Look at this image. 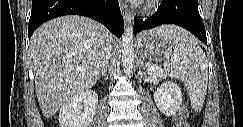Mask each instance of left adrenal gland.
Here are the masks:
<instances>
[{
  "label": "left adrenal gland",
  "instance_id": "a2214340",
  "mask_svg": "<svg viewBox=\"0 0 243 127\" xmlns=\"http://www.w3.org/2000/svg\"><path fill=\"white\" fill-rule=\"evenodd\" d=\"M140 66L144 69V70H146V66H145V64H144V61L143 60H140Z\"/></svg>",
  "mask_w": 243,
  "mask_h": 127
}]
</instances>
